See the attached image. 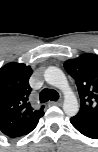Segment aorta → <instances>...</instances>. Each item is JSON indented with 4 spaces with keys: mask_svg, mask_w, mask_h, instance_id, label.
Listing matches in <instances>:
<instances>
[{
    "mask_svg": "<svg viewBox=\"0 0 98 152\" xmlns=\"http://www.w3.org/2000/svg\"><path fill=\"white\" fill-rule=\"evenodd\" d=\"M45 81L60 89L64 95L63 110L68 116L77 114L79 106L77 98L69 86L68 80L63 71L57 67H48L44 72Z\"/></svg>",
    "mask_w": 98,
    "mask_h": 152,
    "instance_id": "762f6f07",
    "label": "aorta"
}]
</instances>
